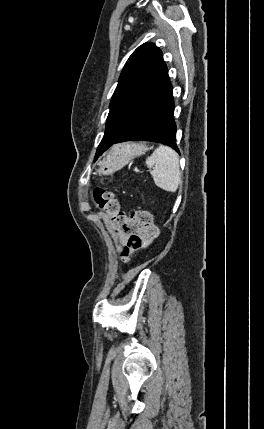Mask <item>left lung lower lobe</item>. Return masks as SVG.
Wrapping results in <instances>:
<instances>
[{"instance_id": "1", "label": "left lung lower lobe", "mask_w": 264, "mask_h": 429, "mask_svg": "<svg viewBox=\"0 0 264 429\" xmlns=\"http://www.w3.org/2000/svg\"><path fill=\"white\" fill-rule=\"evenodd\" d=\"M174 101L168 71L139 103L122 134L111 145L124 141H153L163 143L179 152L176 145ZM111 145L97 149L96 158Z\"/></svg>"}]
</instances>
